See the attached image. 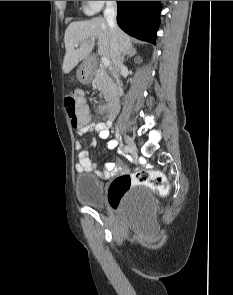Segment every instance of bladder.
I'll return each instance as SVG.
<instances>
[{"label": "bladder", "mask_w": 233, "mask_h": 295, "mask_svg": "<svg viewBox=\"0 0 233 295\" xmlns=\"http://www.w3.org/2000/svg\"><path fill=\"white\" fill-rule=\"evenodd\" d=\"M75 192L80 203L102 208L105 203L104 184L92 175L81 174L75 179ZM156 202L151 190L147 187L138 189L127 206V212L140 222L153 218Z\"/></svg>", "instance_id": "bladder-1"}]
</instances>
